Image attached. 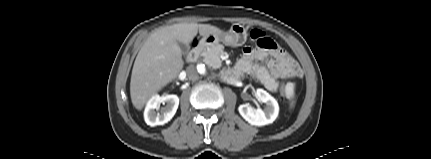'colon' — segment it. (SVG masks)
Returning <instances> with one entry per match:
<instances>
[{
	"mask_svg": "<svg viewBox=\"0 0 431 159\" xmlns=\"http://www.w3.org/2000/svg\"><path fill=\"white\" fill-rule=\"evenodd\" d=\"M250 37H251V41L250 44H253V41L256 43H266L265 39H266V35L263 31L258 30V29H254L251 31L250 33ZM285 91V83H281V88H280V96H281V101L282 103H287V99L285 97L284 94ZM294 105V101H291V106Z\"/></svg>",
	"mask_w": 431,
	"mask_h": 159,
	"instance_id": "5ec220e1",
	"label": "colon"
}]
</instances>
